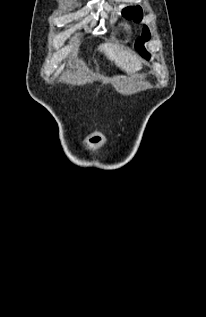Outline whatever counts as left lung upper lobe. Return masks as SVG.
Wrapping results in <instances>:
<instances>
[{
    "instance_id": "obj_1",
    "label": "left lung upper lobe",
    "mask_w": 206,
    "mask_h": 317,
    "mask_svg": "<svg viewBox=\"0 0 206 317\" xmlns=\"http://www.w3.org/2000/svg\"><path fill=\"white\" fill-rule=\"evenodd\" d=\"M123 15L127 16L128 19H134L139 22L143 17V12L140 6L127 7L123 11ZM150 39V33L148 27L145 25L142 33V37L136 43V49L146 59L150 58V54L145 50L143 44L145 41Z\"/></svg>"
}]
</instances>
